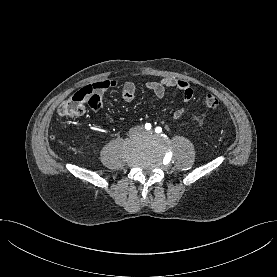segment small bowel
Returning a JSON list of instances; mask_svg holds the SVG:
<instances>
[{
    "mask_svg": "<svg viewBox=\"0 0 277 277\" xmlns=\"http://www.w3.org/2000/svg\"><path fill=\"white\" fill-rule=\"evenodd\" d=\"M118 86V82L113 79H105L97 81L92 85H89L83 90L89 92L95 97V100L91 102L90 107L94 112H99L103 109L102 97L106 91ZM145 88L151 91L157 99H162L167 90L176 89L182 93L184 101L192 99L194 91L190 83L185 80L163 78L159 81H149L144 84ZM136 85L133 82H125L122 85V98L126 102H131L136 94ZM184 113L183 108H177L172 113L173 119H179Z\"/></svg>",
    "mask_w": 277,
    "mask_h": 277,
    "instance_id": "obj_1",
    "label": "small bowel"
}]
</instances>
